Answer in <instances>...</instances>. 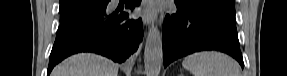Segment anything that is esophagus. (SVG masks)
<instances>
[{
	"mask_svg": "<svg viewBox=\"0 0 287 76\" xmlns=\"http://www.w3.org/2000/svg\"><path fill=\"white\" fill-rule=\"evenodd\" d=\"M142 19L145 25L150 26L154 23L155 18L148 12L144 11Z\"/></svg>",
	"mask_w": 287,
	"mask_h": 76,
	"instance_id": "1",
	"label": "esophagus"
}]
</instances>
